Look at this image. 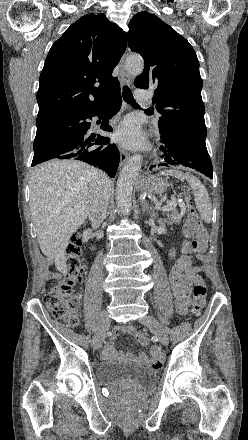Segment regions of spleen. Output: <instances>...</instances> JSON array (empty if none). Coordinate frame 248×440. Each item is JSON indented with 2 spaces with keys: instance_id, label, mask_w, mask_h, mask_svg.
I'll return each instance as SVG.
<instances>
[{
  "instance_id": "1",
  "label": "spleen",
  "mask_w": 248,
  "mask_h": 440,
  "mask_svg": "<svg viewBox=\"0 0 248 440\" xmlns=\"http://www.w3.org/2000/svg\"><path fill=\"white\" fill-rule=\"evenodd\" d=\"M160 175L174 176L181 181L186 180L193 190L195 205L201 218L205 223H210L212 221L211 200L207 189L198 178L191 173H183L178 170H165L160 172Z\"/></svg>"
}]
</instances>
